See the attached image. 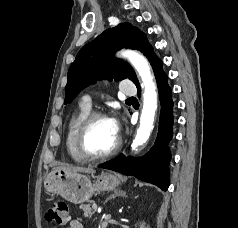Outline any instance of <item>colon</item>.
Instances as JSON below:
<instances>
[{
  "mask_svg": "<svg viewBox=\"0 0 238 228\" xmlns=\"http://www.w3.org/2000/svg\"><path fill=\"white\" fill-rule=\"evenodd\" d=\"M45 218L49 223L65 225L69 220L68 205L62 201L53 203L46 209Z\"/></svg>",
  "mask_w": 238,
  "mask_h": 228,
  "instance_id": "1",
  "label": "colon"
}]
</instances>
